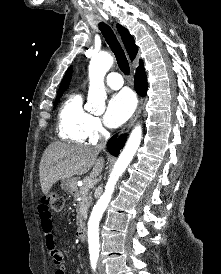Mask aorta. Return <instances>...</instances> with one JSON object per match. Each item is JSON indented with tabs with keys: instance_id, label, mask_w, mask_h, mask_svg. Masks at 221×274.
Returning a JSON list of instances; mask_svg holds the SVG:
<instances>
[{
	"instance_id": "1",
	"label": "aorta",
	"mask_w": 221,
	"mask_h": 274,
	"mask_svg": "<svg viewBox=\"0 0 221 274\" xmlns=\"http://www.w3.org/2000/svg\"><path fill=\"white\" fill-rule=\"evenodd\" d=\"M113 64L111 55L106 54L99 57H93L89 65V91H88V106L90 109L100 110L105 104L104 77L107 71ZM142 138L141 125H136L132 130L129 139L119 155L115 166L109 176L105 186V191L94 206L89 222H88V244L91 254L99 253V222L107 208L115 185L119 177L126 170L132 161L137 149L139 148Z\"/></svg>"
}]
</instances>
